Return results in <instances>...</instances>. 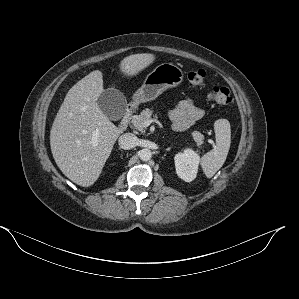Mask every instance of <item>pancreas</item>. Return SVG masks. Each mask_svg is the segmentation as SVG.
Returning <instances> with one entry per match:
<instances>
[{
    "label": "pancreas",
    "instance_id": "1",
    "mask_svg": "<svg viewBox=\"0 0 299 299\" xmlns=\"http://www.w3.org/2000/svg\"><path fill=\"white\" fill-rule=\"evenodd\" d=\"M152 115H153V110L145 109L139 115L133 117L131 123L136 129L143 131V130H145L144 122L146 120H150ZM191 136L197 146H200L201 144H203L204 135L201 134L199 131H193L191 133Z\"/></svg>",
    "mask_w": 299,
    "mask_h": 299
}]
</instances>
